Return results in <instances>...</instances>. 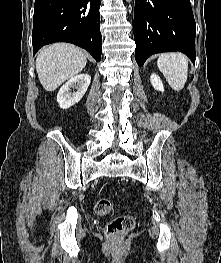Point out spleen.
<instances>
[{"label": "spleen", "instance_id": "spleen-1", "mask_svg": "<svg viewBox=\"0 0 221 263\" xmlns=\"http://www.w3.org/2000/svg\"><path fill=\"white\" fill-rule=\"evenodd\" d=\"M157 65L170 87L182 90L188 76V58L182 53H164L159 56Z\"/></svg>", "mask_w": 221, "mask_h": 263}]
</instances>
